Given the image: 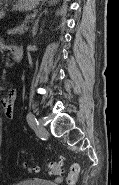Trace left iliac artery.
<instances>
[{
	"mask_svg": "<svg viewBox=\"0 0 119 185\" xmlns=\"http://www.w3.org/2000/svg\"><path fill=\"white\" fill-rule=\"evenodd\" d=\"M27 122L32 129H36L38 127V121L35 115L31 112L27 114Z\"/></svg>",
	"mask_w": 119,
	"mask_h": 185,
	"instance_id": "1",
	"label": "left iliac artery"
}]
</instances>
